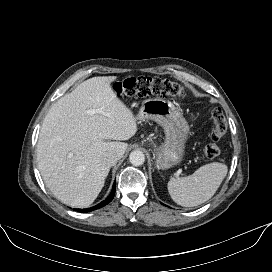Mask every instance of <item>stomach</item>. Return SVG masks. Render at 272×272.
Masks as SVG:
<instances>
[{
    "mask_svg": "<svg viewBox=\"0 0 272 272\" xmlns=\"http://www.w3.org/2000/svg\"><path fill=\"white\" fill-rule=\"evenodd\" d=\"M135 118L155 120L164 129L165 141L154 149L158 169L172 168L183 160L188 126L173 104L159 98L148 99L142 103Z\"/></svg>",
    "mask_w": 272,
    "mask_h": 272,
    "instance_id": "obj_1",
    "label": "stomach"
}]
</instances>
